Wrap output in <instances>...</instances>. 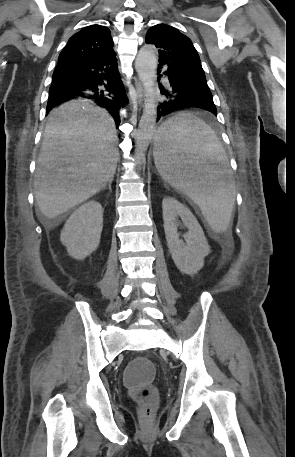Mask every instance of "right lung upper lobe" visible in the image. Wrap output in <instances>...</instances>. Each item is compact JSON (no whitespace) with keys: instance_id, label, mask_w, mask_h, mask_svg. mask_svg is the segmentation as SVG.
<instances>
[{"instance_id":"right-lung-upper-lobe-1","label":"right lung upper lobe","mask_w":295,"mask_h":457,"mask_svg":"<svg viewBox=\"0 0 295 457\" xmlns=\"http://www.w3.org/2000/svg\"><path fill=\"white\" fill-rule=\"evenodd\" d=\"M113 50L110 30L91 25L74 34L59 55L58 64L78 63L96 59Z\"/></svg>"}]
</instances>
